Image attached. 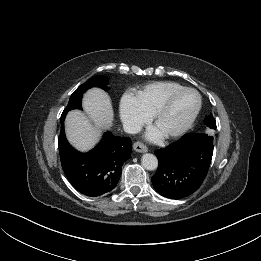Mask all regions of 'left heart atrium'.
<instances>
[{
  "instance_id": "1",
  "label": "left heart atrium",
  "mask_w": 261,
  "mask_h": 261,
  "mask_svg": "<svg viewBox=\"0 0 261 261\" xmlns=\"http://www.w3.org/2000/svg\"><path fill=\"white\" fill-rule=\"evenodd\" d=\"M161 135V132H159L157 129H152L148 132L147 137L151 140H158Z\"/></svg>"
}]
</instances>
